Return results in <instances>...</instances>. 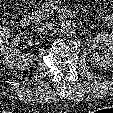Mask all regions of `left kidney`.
Wrapping results in <instances>:
<instances>
[{"label":"left kidney","instance_id":"1","mask_svg":"<svg viewBox=\"0 0 113 113\" xmlns=\"http://www.w3.org/2000/svg\"><path fill=\"white\" fill-rule=\"evenodd\" d=\"M94 40L98 42H103L107 45V50L105 54L101 56L99 53H92L91 60L94 64L101 67L113 66V35L108 33H98L96 34Z\"/></svg>","mask_w":113,"mask_h":113}]
</instances>
